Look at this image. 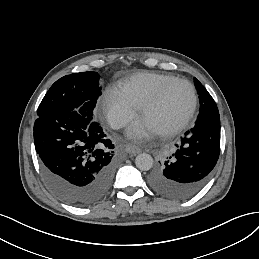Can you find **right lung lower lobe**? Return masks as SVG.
<instances>
[{"label":"right lung lower lobe","instance_id":"obj_1","mask_svg":"<svg viewBox=\"0 0 259 259\" xmlns=\"http://www.w3.org/2000/svg\"><path fill=\"white\" fill-rule=\"evenodd\" d=\"M35 149L50 189L78 207L98 202L115 172L114 145L97 121L72 112H50L34 124Z\"/></svg>","mask_w":259,"mask_h":259}]
</instances>
